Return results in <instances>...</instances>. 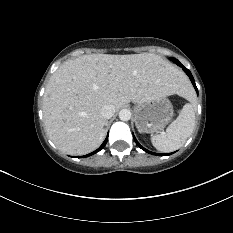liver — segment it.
I'll return each instance as SVG.
<instances>
[{"instance_id": "liver-1", "label": "liver", "mask_w": 233, "mask_h": 233, "mask_svg": "<svg viewBox=\"0 0 233 233\" xmlns=\"http://www.w3.org/2000/svg\"><path fill=\"white\" fill-rule=\"evenodd\" d=\"M187 90L182 72L159 55H83L64 62L51 76L43 99L45 130L60 151L87 154L105 138L104 105L118 110L131 101L184 95Z\"/></svg>"}]
</instances>
